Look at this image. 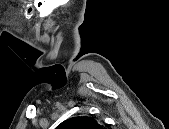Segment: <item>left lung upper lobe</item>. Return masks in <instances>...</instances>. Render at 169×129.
Segmentation results:
<instances>
[{"mask_svg": "<svg viewBox=\"0 0 169 129\" xmlns=\"http://www.w3.org/2000/svg\"><path fill=\"white\" fill-rule=\"evenodd\" d=\"M58 129H102L103 126L90 117H73L63 121Z\"/></svg>", "mask_w": 169, "mask_h": 129, "instance_id": "obj_1", "label": "left lung upper lobe"}]
</instances>
